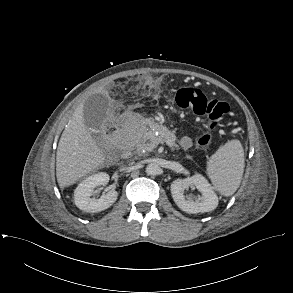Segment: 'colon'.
<instances>
[{"instance_id": "colon-1", "label": "colon", "mask_w": 293, "mask_h": 293, "mask_svg": "<svg viewBox=\"0 0 293 293\" xmlns=\"http://www.w3.org/2000/svg\"><path fill=\"white\" fill-rule=\"evenodd\" d=\"M175 100L181 109L189 113L208 116L212 121L211 128L220 125L222 118L229 112V105L226 102L209 98L200 88L194 86L179 88ZM211 141V136L205 135L199 139L198 143L207 147Z\"/></svg>"}]
</instances>
